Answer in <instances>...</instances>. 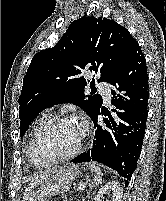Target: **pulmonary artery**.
Wrapping results in <instances>:
<instances>
[{
    "label": "pulmonary artery",
    "mask_w": 166,
    "mask_h": 201,
    "mask_svg": "<svg viewBox=\"0 0 166 201\" xmlns=\"http://www.w3.org/2000/svg\"><path fill=\"white\" fill-rule=\"evenodd\" d=\"M99 92L102 94L103 98L106 101H109L111 98V92L108 84L102 83L98 86Z\"/></svg>",
    "instance_id": "1"
}]
</instances>
